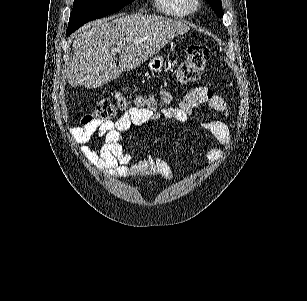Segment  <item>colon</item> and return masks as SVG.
<instances>
[{
  "label": "colon",
  "instance_id": "5ec220e1",
  "mask_svg": "<svg viewBox=\"0 0 307 301\" xmlns=\"http://www.w3.org/2000/svg\"><path fill=\"white\" fill-rule=\"evenodd\" d=\"M209 59L210 50L206 46L190 45L186 50V59L178 70L179 81L184 84L196 82ZM162 99L164 102H168L170 97L164 92ZM135 105L139 108L154 110L157 106V101L150 97H138L135 100ZM126 107L127 101L122 94H118L115 101L109 99L100 100L95 108L82 118L81 123L87 125L94 122L111 121L118 112L125 110Z\"/></svg>",
  "mask_w": 307,
  "mask_h": 301
}]
</instances>
